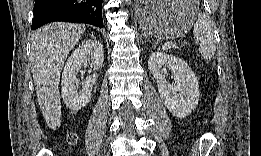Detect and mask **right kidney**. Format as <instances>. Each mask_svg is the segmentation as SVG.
Returning a JSON list of instances; mask_svg holds the SVG:
<instances>
[{"label":"right kidney","instance_id":"ca27d5eb","mask_svg":"<svg viewBox=\"0 0 261 156\" xmlns=\"http://www.w3.org/2000/svg\"><path fill=\"white\" fill-rule=\"evenodd\" d=\"M103 60V45L95 39L84 41L68 58L62 73L61 90L63 101L70 110L78 111L87 105L98 77L96 73L89 75L86 86L78 92V87L75 86L78 71L88 62L94 70H98L102 67Z\"/></svg>","mask_w":261,"mask_h":156}]
</instances>
